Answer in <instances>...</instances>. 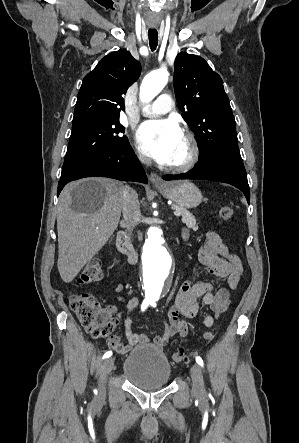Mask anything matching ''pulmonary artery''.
Wrapping results in <instances>:
<instances>
[{"mask_svg": "<svg viewBox=\"0 0 299 443\" xmlns=\"http://www.w3.org/2000/svg\"><path fill=\"white\" fill-rule=\"evenodd\" d=\"M173 108L172 97L169 94H161L157 100L143 109L146 116L161 115L169 112Z\"/></svg>", "mask_w": 299, "mask_h": 443, "instance_id": "1", "label": "pulmonary artery"}]
</instances>
